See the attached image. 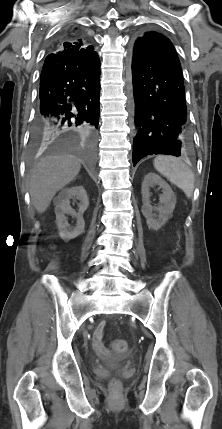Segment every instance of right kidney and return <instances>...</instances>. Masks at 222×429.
<instances>
[{"instance_id":"ca27d5eb","label":"right kidney","mask_w":222,"mask_h":429,"mask_svg":"<svg viewBox=\"0 0 222 429\" xmlns=\"http://www.w3.org/2000/svg\"><path fill=\"white\" fill-rule=\"evenodd\" d=\"M70 199H77L80 201L78 207L79 210L76 212L70 206ZM55 214H56V225L59 230V235L64 240L74 239L79 236L85 227L83 219V213L89 206V200L86 190L83 186H72L71 188L63 189L55 199ZM66 214L76 217L77 224L73 229L68 228Z\"/></svg>"}]
</instances>
